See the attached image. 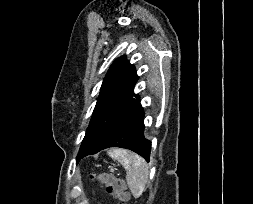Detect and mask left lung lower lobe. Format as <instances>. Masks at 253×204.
Listing matches in <instances>:
<instances>
[{"mask_svg": "<svg viewBox=\"0 0 253 204\" xmlns=\"http://www.w3.org/2000/svg\"><path fill=\"white\" fill-rule=\"evenodd\" d=\"M143 118L140 98L134 93L98 115L86 130L77 163L83 157L109 147L130 149L149 162L151 142L144 137Z\"/></svg>", "mask_w": 253, "mask_h": 204, "instance_id": "0a47b994", "label": "left lung lower lobe"}]
</instances>
